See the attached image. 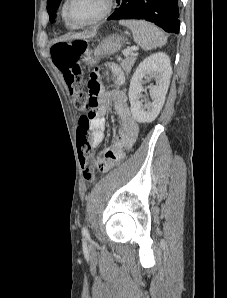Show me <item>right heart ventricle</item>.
Here are the masks:
<instances>
[{"label": "right heart ventricle", "mask_w": 227, "mask_h": 298, "mask_svg": "<svg viewBox=\"0 0 227 298\" xmlns=\"http://www.w3.org/2000/svg\"><path fill=\"white\" fill-rule=\"evenodd\" d=\"M62 17H63V19H64V21H65L66 26H67V27H72V26L66 21V19H65V16H64V5H63V8H62Z\"/></svg>", "instance_id": "obj_1"}]
</instances>
